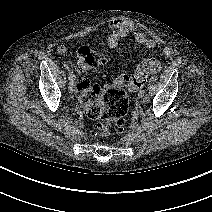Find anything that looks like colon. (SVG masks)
<instances>
[{"instance_id": "1", "label": "colon", "mask_w": 212, "mask_h": 212, "mask_svg": "<svg viewBox=\"0 0 212 212\" xmlns=\"http://www.w3.org/2000/svg\"><path fill=\"white\" fill-rule=\"evenodd\" d=\"M103 60V52L83 47L77 54L76 70L79 74H86L96 69ZM145 81V76L137 74L133 77L123 75L103 87L87 79L79 80L78 90L84 113L98 121L96 134L107 136L122 130L124 118L129 112V98L124 87L139 89Z\"/></svg>"}]
</instances>
